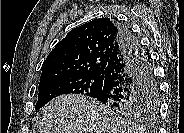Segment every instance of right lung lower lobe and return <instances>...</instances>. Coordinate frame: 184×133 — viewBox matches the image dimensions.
Returning <instances> with one entry per match:
<instances>
[{
	"label": "right lung lower lobe",
	"mask_w": 184,
	"mask_h": 133,
	"mask_svg": "<svg viewBox=\"0 0 184 133\" xmlns=\"http://www.w3.org/2000/svg\"><path fill=\"white\" fill-rule=\"evenodd\" d=\"M118 48L110 57L103 76V87L95 96L109 106L135 104L146 99L153 70L149 56L131 31L119 25Z\"/></svg>",
	"instance_id": "98d812e1"
}]
</instances>
